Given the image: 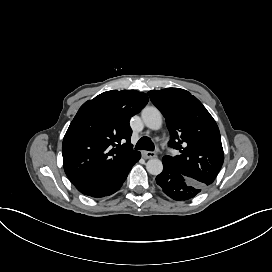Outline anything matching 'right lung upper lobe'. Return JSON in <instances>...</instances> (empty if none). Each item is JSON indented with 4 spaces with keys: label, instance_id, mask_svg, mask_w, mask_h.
<instances>
[{
    "label": "right lung upper lobe",
    "instance_id": "1",
    "mask_svg": "<svg viewBox=\"0 0 272 272\" xmlns=\"http://www.w3.org/2000/svg\"><path fill=\"white\" fill-rule=\"evenodd\" d=\"M147 102L145 93L113 90L80 107L62 144L64 170L74 185L105 174L139 153L130 144L129 121Z\"/></svg>",
    "mask_w": 272,
    "mask_h": 272
}]
</instances>
